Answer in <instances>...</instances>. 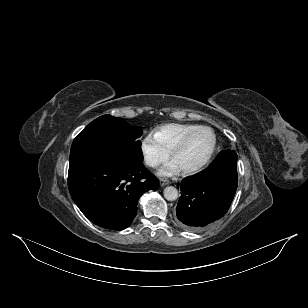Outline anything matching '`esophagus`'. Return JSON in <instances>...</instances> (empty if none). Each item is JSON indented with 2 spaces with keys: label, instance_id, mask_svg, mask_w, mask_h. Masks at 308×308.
Returning <instances> with one entry per match:
<instances>
[{
  "label": "esophagus",
  "instance_id": "obj_1",
  "mask_svg": "<svg viewBox=\"0 0 308 308\" xmlns=\"http://www.w3.org/2000/svg\"><path fill=\"white\" fill-rule=\"evenodd\" d=\"M170 184V181L169 180H166V179H161L160 180V186L163 187V186H166Z\"/></svg>",
  "mask_w": 308,
  "mask_h": 308
}]
</instances>
